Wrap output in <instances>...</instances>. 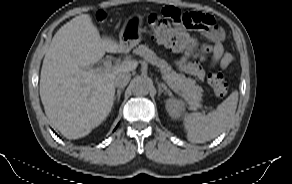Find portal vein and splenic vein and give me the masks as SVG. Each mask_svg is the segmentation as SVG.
Returning a JSON list of instances; mask_svg holds the SVG:
<instances>
[{
    "label": "portal vein and splenic vein",
    "mask_w": 292,
    "mask_h": 184,
    "mask_svg": "<svg viewBox=\"0 0 292 184\" xmlns=\"http://www.w3.org/2000/svg\"><path fill=\"white\" fill-rule=\"evenodd\" d=\"M125 62L122 63H117L116 65H120V64H124ZM111 68H113L112 62L111 60H106L103 63V66H99L96 68H87L90 72H101V71H106V70H110ZM171 89H173L175 92H178L173 86H170Z\"/></svg>",
    "instance_id": "1"
}]
</instances>
